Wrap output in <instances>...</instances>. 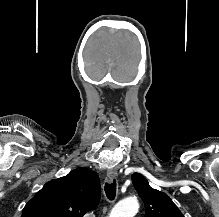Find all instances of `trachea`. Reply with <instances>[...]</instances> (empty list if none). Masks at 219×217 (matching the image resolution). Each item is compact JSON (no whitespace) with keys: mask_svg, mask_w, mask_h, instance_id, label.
I'll list each match as a JSON object with an SVG mask.
<instances>
[{"mask_svg":"<svg viewBox=\"0 0 219 217\" xmlns=\"http://www.w3.org/2000/svg\"><path fill=\"white\" fill-rule=\"evenodd\" d=\"M104 190L108 199L114 200L116 195V180L111 183H105Z\"/></svg>","mask_w":219,"mask_h":217,"instance_id":"obj_1","label":"trachea"}]
</instances>
